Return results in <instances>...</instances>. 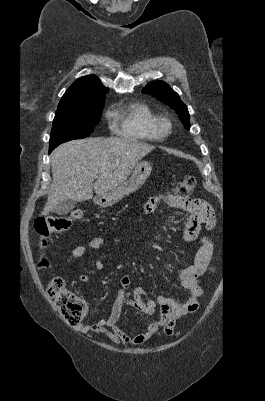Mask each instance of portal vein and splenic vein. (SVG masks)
<instances>
[{
    "label": "portal vein and splenic vein",
    "instance_id": "1",
    "mask_svg": "<svg viewBox=\"0 0 265 401\" xmlns=\"http://www.w3.org/2000/svg\"><path fill=\"white\" fill-rule=\"evenodd\" d=\"M92 176H97V174H92Z\"/></svg>",
    "mask_w": 265,
    "mask_h": 401
}]
</instances>
